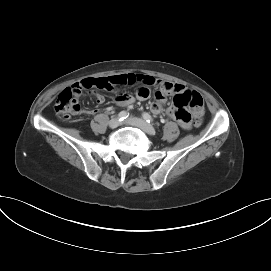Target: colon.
Returning a JSON list of instances; mask_svg holds the SVG:
<instances>
[{"label": "colon", "instance_id": "colon-1", "mask_svg": "<svg viewBox=\"0 0 271 271\" xmlns=\"http://www.w3.org/2000/svg\"><path fill=\"white\" fill-rule=\"evenodd\" d=\"M95 82L76 83L72 87L64 89L58 95V98L55 102V111L65 118L79 114L81 112V107L76 97L81 95L85 89L96 87ZM174 103L180 107L189 105L195 111V126H200L201 116L204 109V100L199 93L189 92L184 95H177L174 98Z\"/></svg>", "mask_w": 271, "mask_h": 271}]
</instances>
